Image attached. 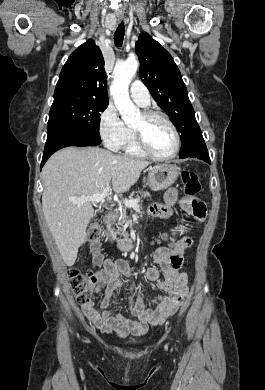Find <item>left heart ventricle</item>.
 Segmentation results:
<instances>
[{
  "label": "left heart ventricle",
  "instance_id": "b2bd125f",
  "mask_svg": "<svg viewBox=\"0 0 265 390\" xmlns=\"http://www.w3.org/2000/svg\"><path fill=\"white\" fill-rule=\"evenodd\" d=\"M133 128L144 133L146 142L153 152L166 156L174 148L175 139L170 127L160 119L146 121L142 115L138 118Z\"/></svg>",
  "mask_w": 265,
  "mask_h": 390
}]
</instances>
